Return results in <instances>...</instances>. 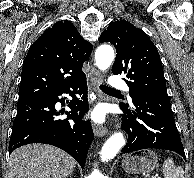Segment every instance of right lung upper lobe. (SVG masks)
Instances as JSON below:
<instances>
[{"instance_id":"right-lung-upper-lobe-1","label":"right lung upper lobe","mask_w":194,"mask_h":178,"mask_svg":"<svg viewBox=\"0 0 194 178\" xmlns=\"http://www.w3.org/2000/svg\"><path fill=\"white\" fill-rule=\"evenodd\" d=\"M92 45L70 21H59L31 45L23 62L18 101L49 96L85 82Z\"/></svg>"}]
</instances>
